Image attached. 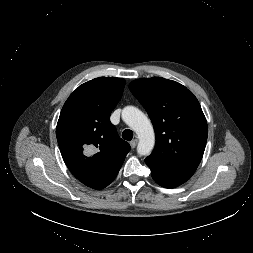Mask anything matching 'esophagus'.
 I'll use <instances>...</instances> for the list:
<instances>
[{
	"label": "esophagus",
	"mask_w": 253,
	"mask_h": 253,
	"mask_svg": "<svg viewBox=\"0 0 253 253\" xmlns=\"http://www.w3.org/2000/svg\"><path fill=\"white\" fill-rule=\"evenodd\" d=\"M137 143H138V140H137V139H133V140L130 142L131 148L134 149V148L136 147Z\"/></svg>",
	"instance_id": "obj_1"
}]
</instances>
